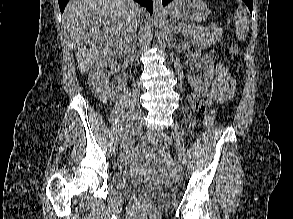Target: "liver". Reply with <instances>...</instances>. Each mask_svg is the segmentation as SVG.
Segmentation results:
<instances>
[{
    "label": "liver",
    "mask_w": 293,
    "mask_h": 219,
    "mask_svg": "<svg viewBox=\"0 0 293 219\" xmlns=\"http://www.w3.org/2000/svg\"><path fill=\"white\" fill-rule=\"evenodd\" d=\"M146 12L132 0H70L63 22L74 43L81 74L99 59L127 55L135 38L136 16Z\"/></svg>",
    "instance_id": "liver-1"
}]
</instances>
